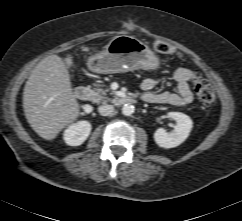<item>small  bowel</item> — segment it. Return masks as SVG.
<instances>
[{
	"instance_id": "1",
	"label": "small bowel",
	"mask_w": 242,
	"mask_h": 221,
	"mask_svg": "<svg viewBox=\"0 0 242 221\" xmlns=\"http://www.w3.org/2000/svg\"><path fill=\"white\" fill-rule=\"evenodd\" d=\"M193 71L185 68H177L173 74L172 79L176 84V92L163 91L154 92L157 82L154 79H145L142 84V98L144 101L153 104H169L173 106L185 107L193 101V94L191 91V80Z\"/></svg>"
}]
</instances>
